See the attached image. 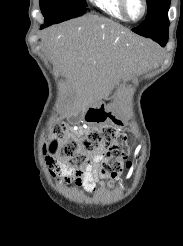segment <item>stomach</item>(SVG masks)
<instances>
[{"instance_id": "obj_1", "label": "stomach", "mask_w": 183, "mask_h": 246, "mask_svg": "<svg viewBox=\"0 0 183 246\" xmlns=\"http://www.w3.org/2000/svg\"><path fill=\"white\" fill-rule=\"evenodd\" d=\"M101 116L104 118L103 122H109L115 126L121 127L124 125L123 119L116 114L112 107L104 108L101 111Z\"/></svg>"}]
</instances>
